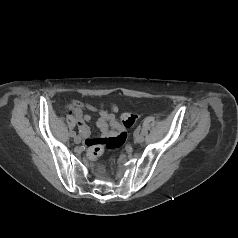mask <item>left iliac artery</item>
I'll list each match as a JSON object with an SVG mask.
<instances>
[{
  "mask_svg": "<svg viewBox=\"0 0 238 238\" xmlns=\"http://www.w3.org/2000/svg\"><path fill=\"white\" fill-rule=\"evenodd\" d=\"M140 133L143 135V136H146L148 134V131L146 130L145 127H142L141 130H140Z\"/></svg>",
  "mask_w": 238,
  "mask_h": 238,
  "instance_id": "left-iliac-artery-1",
  "label": "left iliac artery"
}]
</instances>
